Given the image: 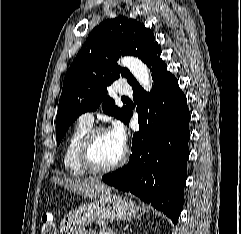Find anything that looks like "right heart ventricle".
<instances>
[{"instance_id":"right-heart-ventricle-1","label":"right heart ventricle","mask_w":241,"mask_h":234,"mask_svg":"<svg viewBox=\"0 0 241 234\" xmlns=\"http://www.w3.org/2000/svg\"><path fill=\"white\" fill-rule=\"evenodd\" d=\"M90 129H92V125L78 121L67 137L64 147L63 164L66 171L72 176L81 177L88 173L80 162L79 149L84 136Z\"/></svg>"}]
</instances>
